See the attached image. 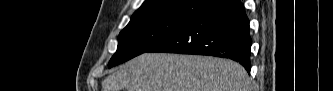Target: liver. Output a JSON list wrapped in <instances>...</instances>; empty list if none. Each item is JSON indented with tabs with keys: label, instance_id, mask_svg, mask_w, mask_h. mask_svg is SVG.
I'll return each mask as SVG.
<instances>
[{
	"label": "liver",
	"instance_id": "liver-1",
	"mask_svg": "<svg viewBox=\"0 0 333 91\" xmlns=\"http://www.w3.org/2000/svg\"><path fill=\"white\" fill-rule=\"evenodd\" d=\"M103 91H249L246 70L232 60L141 54L102 82Z\"/></svg>",
	"mask_w": 333,
	"mask_h": 91
}]
</instances>
